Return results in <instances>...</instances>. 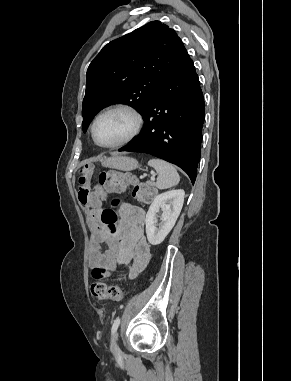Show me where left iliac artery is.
I'll use <instances>...</instances> for the list:
<instances>
[{
  "mask_svg": "<svg viewBox=\"0 0 291 381\" xmlns=\"http://www.w3.org/2000/svg\"><path fill=\"white\" fill-rule=\"evenodd\" d=\"M120 317H117L115 320H114V322H113V325H112V329H111V333H112V335H114V333L117 331V329H118V326H119V324H120Z\"/></svg>",
  "mask_w": 291,
  "mask_h": 381,
  "instance_id": "1",
  "label": "left iliac artery"
}]
</instances>
